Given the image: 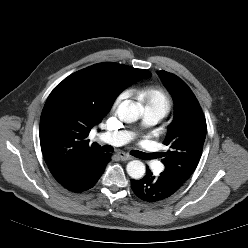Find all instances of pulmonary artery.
<instances>
[{
    "label": "pulmonary artery",
    "mask_w": 248,
    "mask_h": 248,
    "mask_svg": "<svg viewBox=\"0 0 248 248\" xmlns=\"http://www.w3.org/2000/svg\"><path fill=\"white\" fill-rule=\"evenodd\" d=\"M166 114L162 110L145 108L144 110V124L154 125L158 123ZM133 138V133L128 131H115L104 132L99 134L98 139L102 142L108 143L114 146H120L126 144Z\"/></svg>",
    "instance_id": "e3ab8cb5"
}]
</instances>
